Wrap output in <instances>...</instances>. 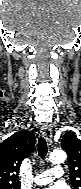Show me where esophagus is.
Returning <instances> with one entry per match:
<instances>
[{"label": "esophagus", "instance_id": "obj_1", "mask_svg": "<svg viewBox=\"0 0 81 189\" xmlns=\"http://www.w3.org/2000/svg\"><path fill=\"white\" fill-rule=\"evenodd\" d=\"M41 133L44 136V138L46 139L48 145H51L52 142V130L51 127L49 126H45L41 128Z\"/></svg>", "mask_w": 81, "mask_h": 189}]
</instances>
